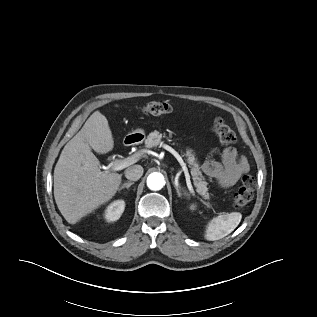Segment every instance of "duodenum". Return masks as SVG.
Segmentation results:
<instances>
[{
  "mask_svg": "<svg viewBox=\"0 0 317 317\" xmlns=\"http://www.w3.org/2000/svg\"><path fill=\"white\" fill-rule=\"evenodd\" d=\"M137 140H138L137 135H131V136H128V137L125 139L124 142H125L126 145H132V144L135 143Z\"/></svg>",
  "mask_w": 317,
  "mask_h": 317,
  "instance_id": "duodenum-1",
  "label": "duodenum"
}]
</instances>
